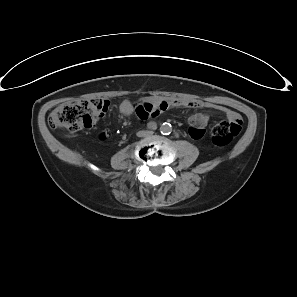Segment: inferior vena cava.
<instances>
[{
    "instance_id": "obj_1",
    "label": "inferior vena cava",
    "mask_w": 297,
    "mask_h": 297,
    "mask_svg": "<svg viewBox=\"0 0 297 297\" xmlns=\"http://www.w3.org/2000/svg\"><path fill=\"white\" fill-rule=\"evenodd\" d=\"M152 134H153V131L143 130V131H139L137 133V136L138 137H146V136H149V135H152Z\"/></svg>"
}]
</instances>
